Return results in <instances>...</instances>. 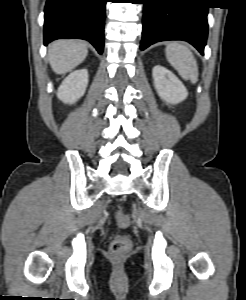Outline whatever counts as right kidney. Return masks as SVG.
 Instances as JSON below:
<instances>
[{
  "label": "right kidney",
  "mask_w": 246,
  "mask_h": 300,
  "mask_svg": "<svg viewBox=\"0 0 246 300\" xmlns=\"http://www.w3.org/2000/svg\"><path fill=\"white\" fill-rule=\"evenodd\" d=\"M87 85V69L73 71L62 81L57 97L64 103L73 104L84 95Z\"/></svg>",
  "instance_id": "obj_1"
}]
</instances>
